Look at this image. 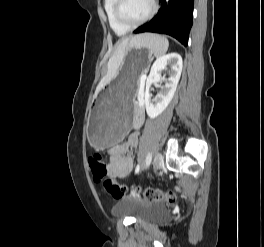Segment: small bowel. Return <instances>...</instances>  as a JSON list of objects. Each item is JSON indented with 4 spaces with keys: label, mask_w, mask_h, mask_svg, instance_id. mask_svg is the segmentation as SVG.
Segmentation results:
<instances>
[{
    "label": "small bowel",
    "mask_w": 264,
    "mask_h": 247,
    "mask_svg": "<svg viewBox=\"0 0 264 247\" xmlns=\"http://www.w3.org/2000/svg\"><path fill=\"white\" fill-rule=\"evenodd\" d=\"M143 122V115L139 114L133 120V130L128 134L124 142L110 150L108 158V174L111 178H124L133 169L134 160L129 151L138 145L137 129Z\"/></svg>",
    "instance_id": "small-bowel-1"
}]
</instances>
